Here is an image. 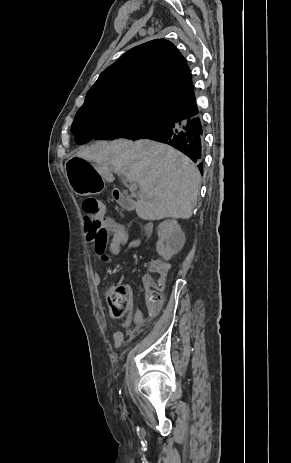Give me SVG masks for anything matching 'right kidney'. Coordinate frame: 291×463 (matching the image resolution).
Returning a JSON list of instances; mask_svg holds the SVG:
<instances>
[{
	"mask_svg": "<svg viewBox=\"0 0 291 463\" xmlns=\"http://www.w3.org/2000/svg\"><path fill=\"white\" fill-rule=\"evenodd\" d=\"M157 252L166 260L182 249L185 234L176 220H165L158 225Z\"/></svg>",
	"mask_w": 291,
	"mask_h": 463,
	"instance_id": "obj_1",
	"label": "right kidney"
}]
</instances>
